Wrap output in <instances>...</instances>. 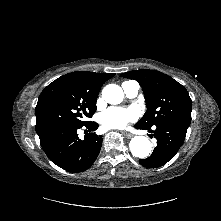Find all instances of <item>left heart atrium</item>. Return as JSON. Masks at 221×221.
Returning a JSON list of instances; mask_svg holds the SVG:
<instances>
[{"label":"left heart atrium","instance_id":"left-heart-atrium-1","mask_svg":"<svg viewBox=\"0 0 221 221\" xmlns=\"http://www.w3.org/2000/svg\"><path fill=\"white\" fill-rule=\"evenodd\" d=\"M138 115L133 108L111 107L100 116L101 124L108 129H121L134 122Z\"/></svg>","mask_w":221,"mask_h":221}]
</instances>
